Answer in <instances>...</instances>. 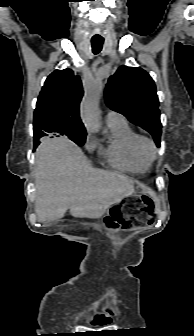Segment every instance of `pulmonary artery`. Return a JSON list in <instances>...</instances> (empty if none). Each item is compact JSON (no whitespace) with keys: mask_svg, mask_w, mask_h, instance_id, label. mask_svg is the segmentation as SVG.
Masks as SVG:
<instances>
[{"mask_svg":"<svg viewBox=\"0 0 194 336\" xmlns=\"http://www.w3.org/2000/svg\"><path fill=\"white\" fill-rule=\"evenodd\" d=\"M126 122L124 117L115 111L109 110L106 113V123L108 126L118 125Z\"/></svg>","mask_w":194,"mask_h":336,"instance_id":"pulmonary-artery-1","label":"pulmonary artery"}]
</instances>
